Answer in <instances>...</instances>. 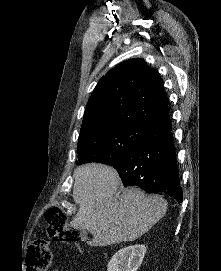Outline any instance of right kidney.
Returning a JSON list of instances; mask_svg holds the SVG:
<instances>
[{"label": "right kidney", "instance_id": "obj_1", "mask_svg": "<svg viewBox=\"0 0 221 271\" xmlns=\"http://www.w3.org/2000/svg\"><path fill=\"white\" fill-rule=\"evenodd\" d=\"M145 253L146 247L143 243L122 247L109 259L107 269L108 271H137Z\"/></svg>", "mask_w": 221, "mask_h": 271}]
</instances>
